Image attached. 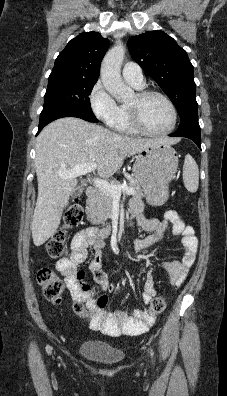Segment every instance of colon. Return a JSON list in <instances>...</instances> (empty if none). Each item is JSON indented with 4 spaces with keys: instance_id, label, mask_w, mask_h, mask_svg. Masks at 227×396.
Segmentation results:
<instances>
[{
    "instance_id": "obj_1",
    "label": "colon",
    "mask_w": 227,
    "mask_h": 396,
    "mask_svg": "<svg viewBox=\"0 0 227 396\" xmlns=\"http://www.w3.org/2000/svg\"><path fill=\"white\" fill-rule=\"evenodd\" d=\"M83 219V207L75 201L68 209L64 227L55 232L46 243V252L49 257L58 259L64 257L68 250L66 245V230L77 227ZM37 281L42 288L45 298L53 303L61 301L64 282L58 275L48 267H41L37 272ZM166 308V300L159 296L154 298L150 303V313L158 315ZM75 314L81 318H88L90 316V309L82 303L76 302L73 306Z\"/></svg>"
}]
</instances>
